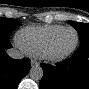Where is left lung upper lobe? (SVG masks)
Instances as JSON below:
<instances>
[{
    "mask_svg": "<svg viewBox=\"0 0 89 89\" xmlns=\"http://www.w3.org/2000/svg\"><path fill=\"white\" fill-rule=\"evenodd\" d=\"M69 24L72 25L77 30L80 37V41L86 39L89 40V24L73 21H69Z\"/></svg>",
    "mask_w": 89,
    "mask_h": 89,
    "instance_id": "1",
    "label": "left lung upper lobe"
}]
</instances>
